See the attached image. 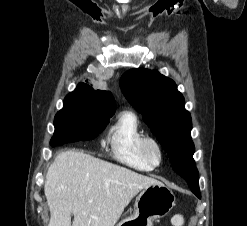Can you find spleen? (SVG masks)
<instances>
[{
  "instance_id": "1",
  "label": "spleen",
  "mask_w": 247,
  "mask_h": 226,
  "mask_svg": "<svg viewBox=\"0 0 247 226\" xmlns=\"http://www.w3.org/2000/svg\"><path fill=\"white\" fill-rule=\"evenodd\" d=\"M171 223L174 226H182L183 223H184L183 216L179 215V214L173 216L172 219H171Z\"/></svg>"
}]
</instances>
